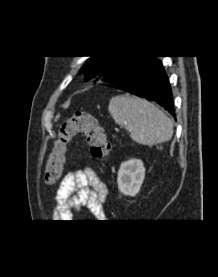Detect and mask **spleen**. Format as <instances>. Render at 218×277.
<instances>
[{
	"label": "spleen",
	"mask_w": 218,
	"mask_h": 277,
	"mask_svg": "<svg viewBox=\"0 0 218 277\" xmlns=\"http://www.w3.org/2000/svg\"><path fill=\"white\" fill-rule=\"evenodd\" d=\"M108 110L114 121L139 144L162 143L173 135L171 119L145 99L118 95L111 98Z\"/></svg>",
	"instance_id": "1"
}]
</instances>
